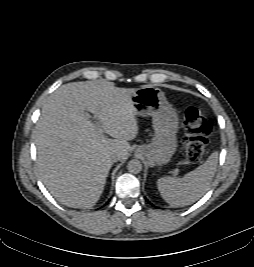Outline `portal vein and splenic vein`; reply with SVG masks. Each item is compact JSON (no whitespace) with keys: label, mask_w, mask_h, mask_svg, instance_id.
I'll return each mask as SVG.
<instances>
[{"label":"portal vein and splenic vein","mask_w":254,"mask_h":267,"mask_svg":"<svg viewBox=\"0 0 254 267\" xmlns=\"http://www.w3.org/2000/svg\"><path fill=\"white\" fill-rule=\"evenodd\" d=\"M96 125L98 126V128L100 129V124L98 121H96Z\"/></svg>","instance_id":"18ae733b"}]
</instances>
